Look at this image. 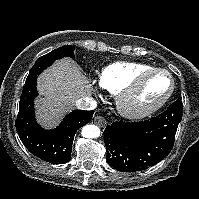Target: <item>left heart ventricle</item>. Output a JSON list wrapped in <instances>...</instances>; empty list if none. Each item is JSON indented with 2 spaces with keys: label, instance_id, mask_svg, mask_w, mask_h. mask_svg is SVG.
Segmentation results:
<instances>
[{
  "label": "left heart ventricle",
  "instance_id": "1",
  "mask_svg": "<svg viewBox=\"0 0 199 199\" xmlns=\"http://www.w3.org/2000/svg\"><path fill=\"white\" fill-rule=\"evenodd\" d=\"M170 86V80L166 75H152L142 85L134 98V103L145 106L155 104L167 94Z\"/></svg>",
  "mask_w": 199,
  "mask_h": 199
}]
</instances>
